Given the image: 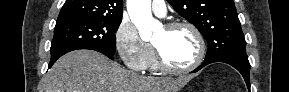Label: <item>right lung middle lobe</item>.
<instances>
[{"label":"right lung middle lobe","instance_id":"obj_1","mask_svg":"<svg viewBox=\"0 0 289 92\" xmlns=\"http://www.w3.org/2000/svg\"><path fill=\"white\" fill-rule=\"evenodd\" d=\"M122 19L67 18L56 21L51 43V60L77 49H91L114 55L117 31Z\"/></svg>","mask_w":289,"mask_h":92}]
</instances>
